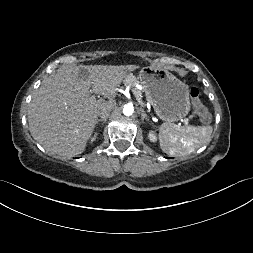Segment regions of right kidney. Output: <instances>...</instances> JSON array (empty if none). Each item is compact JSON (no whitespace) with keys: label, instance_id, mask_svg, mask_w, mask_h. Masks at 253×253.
Segmentation results:
<instances>
[{"label":"right kidney","instance_id":"1","mask_svg":"<svg viewBox=\"0 0 253 253\" xmlns=\"http://www.w3.org/2000/svg\"><path fill=\"white\" fill-rule=\"evenodd\" d=\"M98 133H95L94 136L91 138V142L95 141L96 140V137H97Z\"/></svg>","mask_w":253,"mask_h":253}]
</instances>
